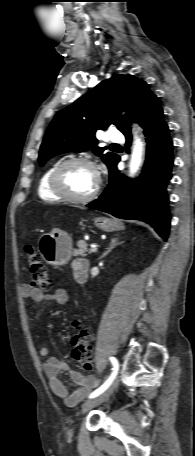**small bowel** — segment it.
Masks as SVG:
<instances>
[{"mask_svg":"<svg viewBox=\"0 0 195 456\" xmlns=\"http://www.w3.org/2000/svg\"><path fill=\"white\" fill-rule=\"evenodd\" d=\"M82 259H77L73 262V270ZM22 294L25 298H29L34 302L52 301L58 304H63L68 300V292L64 288H55L51 292H43L40 289L33 288L29 285H24ZM39 355L44 359L43 369L45 375L49 379V387L52 392L61 397L65 404L73 407L77 405L92 389H94L99 381L91 375H83L78 371L70 369L67 362L49 355V350L46 347L39 349ZM68 372L74 383L78 385L76 390L69 393L66 386L58 378L59 373Z\"/></svg>","mask_w":195,"mask_h":456,"instance_id":"1","label":"small bowel"}]
</instances>
